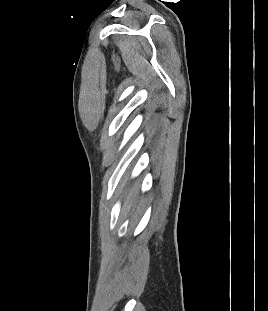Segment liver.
Returning <instances> with one entry per match:
<instances>
[{
    "mask_svg": "<svg viewBox=\"0 0 268 311\" xmlns=\"http://www.w3.org/2000/svg\"><path fill=\"white\" fill-rule=\"evenodd\" d=\"M136 193H137V188L136 187H133L131 189V191L129 192V195L127 197V201H129L131 199V197H135L136 196Z\"/></svg>",
    "mask_w": 268,
    "mask_h": 311,
    "instance_id": "liver-1",
    "label": "liver"
}]
</instances>
